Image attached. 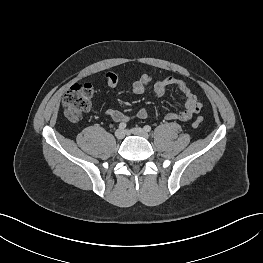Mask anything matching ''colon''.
<instances>
[{
	"mask_svg": "<svg viewBox=\"0 0 263 263\" xmlns=\"http://www.w3.org/2000/svg\"><path fill=\"white\" fill-rule=\"evenodd\" d=\"M93 96L92 85L88 83L75 84L67 90L63 97V108L66 118L71 122L79 121L89 110ZM202 123L200 118L193 122L197 127Z\"/></svg>",
	"mask_w": 263,
	"mask_h": 263,
	"instance_id": "obj_1",
	"label": "colon"
}]
</instances>
